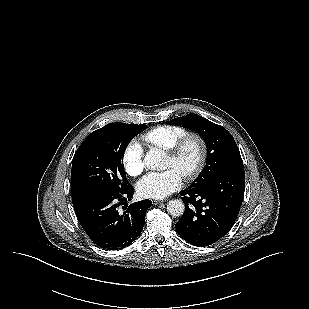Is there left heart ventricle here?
<instances>
[{
    "instance_id": "left-heart-ventricle-1",
    "label": "left heart ventricle",
    "mask_w": 309,
    "mask_h": 309,
    "mask_svg": "<svg viewBox=\"0 0 309 309\" xmlns=\"http://www.w3.org/2000/svg\"><path fill=\"white\" fill-rule=\"evenodd\" d=\"M200 155L199 145L196 141H190L184 148L178 160L166 157L165 168L176 170L181 176L195 167Z\"/></svg>"
}]
</instances>
